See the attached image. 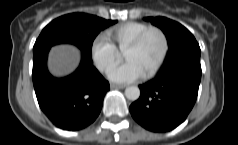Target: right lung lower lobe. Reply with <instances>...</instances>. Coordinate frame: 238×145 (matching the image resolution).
Returning <instances> with one entry per match:
<instances>
[{"label":"right lung lower lobe","mask_w":238,"mask_h":145,"mask_svg":"<svg viewBox=\"0 0 238 145\" xmlns=\"http://www.w3.org/2000/svg\"><path fill=\"white\" fill-rule=\"evenodd\" d=\"M50 48L33 52L32 77L39 106L56 127L84 129L98 117L109 83L93 66L92 58L84 54L73 74L54 78L46 64Z\"/></svg>","instance_id":"right-lung-lower-lobe-1"}]
</instances>
